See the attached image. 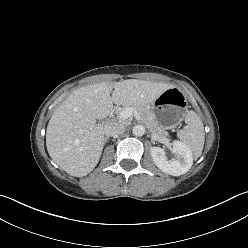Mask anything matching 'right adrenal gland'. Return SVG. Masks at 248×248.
I'll use <instances>...</instances> for the list:
<instances>
[{"label": "right adrenal gland", "mask_w": 248, "mask_h": 248, "mask_svg": "<svg viewBox=\"0 0 248 248\" xmlns=\"http://www.w3.org/2000/svg\"><path fill=\"white\" fill-rule=\"evenodd\" d=\"M108 141V137L105 138V143Z\"/></svg>", "instance_id": "2a0ac1e0"}]
</instances>
